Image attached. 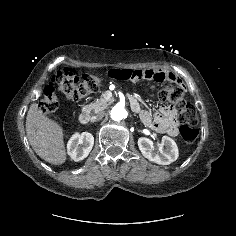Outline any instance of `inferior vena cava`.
Segmentation results:
<instances>
[{"label":"inferior vena cava","mask_w":236,"mask_h":236,"mask_svg":"<svg viewBox=\"0 0 236 236\" xmlns=\"http://www.w3.org/2000/svg\"><path fill=\"white\" fill-rule=\"evenodd\" d=\"M103 116H104L103 112L98 113L97 115L91 117V122H96V121L102 119Z\"/></svg>","instance_id":"602c4592"}]
</instances>
